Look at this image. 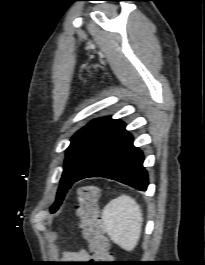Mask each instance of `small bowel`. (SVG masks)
<instances>
[{"label": "small bowel", "mask_w": 205, "mask_h": 265, "mask_svg": "<svg viewBox=\"0 0 205 265\" xmlns=\"http://www.w3.org/2000/svg\"><path fill=\"white\" fill-rule=\"evenodd\" d=\"M67 256L73 261H79V263H82L83 261H87L89 259V254L84 250L70 252L67 254Z\"/></svg>", "instance_id": "c3829d8e"}]
</instances>
